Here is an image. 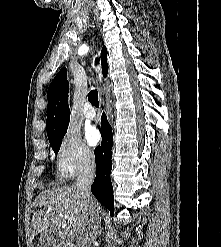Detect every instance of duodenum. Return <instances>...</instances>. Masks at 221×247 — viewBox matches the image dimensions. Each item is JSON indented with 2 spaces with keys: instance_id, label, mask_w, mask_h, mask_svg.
<instances>
[{
  "instance_id": "1",
  "label": "duodenum",
  "mask_w": 221,
  "mask_h": 247,
  "mask_svg": "<svg viewBox=\"0 0 221 247\" xmlns=\"http://www.w3.org/2000/svg\"><path fill=\"white\" fill-rule=\"evenodd\" d=\"M52 240L55 246H59L62 243V236L58 231L52 232Z\"/></svg>"
}]
</instances>
